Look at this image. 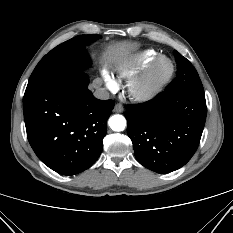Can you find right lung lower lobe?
<instances>
[{"instance_id": "right-lung-lower-lobe-1", "label": "right lung lower lobe", "mask_w": 233, "mask_h": 233, "mask_svg": "<svg viewBox=\"0 0 233 233\" xmlns=\"http://www.w3.org/2000/svg\"><path fill=\"white\" fill-rule=\"evenodd\" d=\"M112 100L96 99L81 72L47 82L23 98L29 143L37 157L62 175L78 174L98 159Z\"/></svg>"}]
</instances>
